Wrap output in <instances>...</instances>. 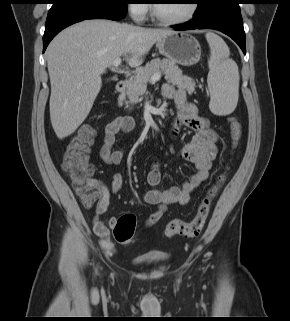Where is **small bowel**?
<instances>
[{"label": "small bowel", "instance_id": "small-bowel-1", "mask_svg": "<svg viewBox=\"0 0 290 321\" xmlns=\"http://www.w3.org/2000/svg\"><path fill=\"white\" fill-rule=\"evenodd\" d=\"M162 95L166 99L173 100L176 104L177 115L172 123L171 134L177 135L182 127L191 129L195 133L192 141L184 145L179 151L181 159L194 165L195 173L181 187L162 190L158 188L161 180L160 166L159 164L153 166L147 176L150 189L143 194V199L149 204L156 205L157 209L147 217L146 226L157 224L168 205L173 203L186 205L189 203L192 193L209 177L212 162L218 153L217 134L209 128L208 121L198 114L197 107L187 101L186 90L167 83L162 86ZM134 127L135 121L131 116H118L106 125L103 143L99 150L100 158L104 163L119 165L122 162L124 150L112 151V147L118 134L130 132ZM92 183L97 188L99 195L92 216V225L95 233L101 238L102 246L110 250L112 247L108 240L110 227H114L117 219L111 217L109 226H107L100 216L107 211L111 196L120 191L123 177L119 172L114 173L110 186L100 179H92Z\"/></svg>", "mask_w": 290, "mask_h": 321}]
</instances>
